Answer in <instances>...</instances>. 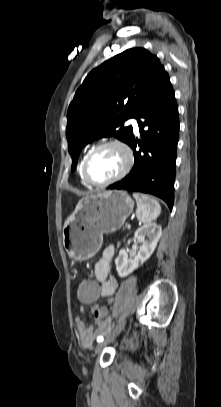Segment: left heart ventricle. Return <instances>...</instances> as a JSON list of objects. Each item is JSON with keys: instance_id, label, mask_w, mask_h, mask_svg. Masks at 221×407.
<instances>
[{"instance_id": "1", "label": "left heart ventricle", "mask_w": 221, "mask_h": 407, "mask_svg": "<svg viewBox=\"0 0 221 407\" xmlns=\"http://www.w3.org/2000/svg\"><path fill=\"white\" fill-rule=\"evenodd\" d=\"M126 158L121 149L110 146L96 153L89 162L88 173L97 182L109 180L123 169Z\"/></svg>"}]
</instances>
